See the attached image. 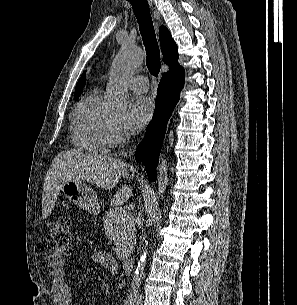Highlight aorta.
<instances>
[{"label": "aorta", "mask_w": 297, "mask_h": 305, "mask_svg": "<svg viewBox=\"0 0 297 305\" xmlns=\"http://www.w3.org/2000/svg\"><path fill=\"white\" fill-rule=\"evenodd\" d=\"M143 52L133 46H122L115 57L112 67L111 76L107 86L106 105L109 111L115 114H125L128 106V84L127 79L133 74L135 69L143 62ZM168 162L165 157H161L158 165V191L157 195L162 197L168 185ZM148 251L145 249L140 255L137 266L130 283L129 295L135 296L138 292L141 279L144 276V269Z\"/></svg>", "instance_id": "obj_1"}]
</instances>
